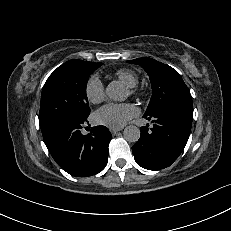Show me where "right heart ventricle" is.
<instances>
[{
    "instance_id": "obj_1",
    "label": "right heart ventricle",
    "mask_w": 231,
    "mask_h": 231,
    "mask_svg": "<svg viewBox=\"0 0 231 231\" xmlns=\"http://www.w3.org/2000/svg\"><path fill=\"white\" fill-rule=\"evenodd\" d=\"M116 75L128 87H135L138 83V77L131 69H120L116 72Z\"/></svg>"
}]
</instances>
